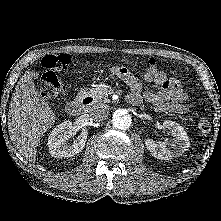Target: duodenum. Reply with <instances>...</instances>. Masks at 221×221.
Here are the masks:
<instances>
[{
	"mask_svg": "<svg viewBox=\"0 0 221 221\" xmlns=\"http://www.w3.org/2000/svg\"><path fill=\"white\" fill-rule=\"evenodd\" d=\"M93 103V97L89 94H84L81 97L70 101L66 106V111L70 116H79L84 106Z\"/></svg>",
	"mask_w": 221,
	"mask_h": 221,
	"instance_id": "1",
	"label": "duodenum"
}]
</instances>
